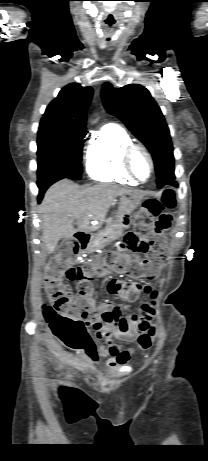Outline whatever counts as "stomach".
I'll return each instance as SVG.
<instances>
[{"instance_id":"obj_1","label":"stomach","mask_w":208,"mask_h":461,"mask_svg":"<svg viewBox=\"0 0 208 461\" xmlns=\"http://www.w3.org/2000/svg\"><path fill=\"white\" fill-rule=\"evenodd\" d=\"M142 196L139 193L124 194L120 198V206L116 218L107 227L99 231L92 237L90 242L91 249H101L108 242L119 239L123 234L125 227L121 220L122 214H131L141 204Z\"/></svg>"}]
</instances>
